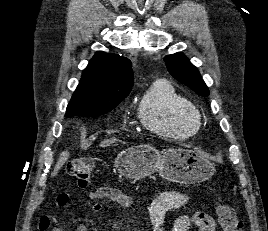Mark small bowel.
I'll return each mask as SVG.
<instances>
[{
    "mask_svg": "<svg viewBox=\"0 0 268 231\" xmlns=\"http://www.w3.org/2000/svg\"><path fill=\"white\" fill-rule=\"evenodd\" d=\"M88 198L92 202V211L100 212L103 209L100 200H109L119 204L125 209L133 205V199L118 188L112 186H102L88 193ZM190 198L187 194L165 191L157 193L151 202L148 214L151 225V231H164V221L166 214L174 209L181 208L188 204ZM66 200L60 202V206L65 204ZM53 216H41L38 223V231H47L50 225L55 223ZM85 225H79L75 231H87ZM214 221L206 213L196 212L192 215H183L178 217L171 231H214ZM52 231H66L65 229L55 226Z\"/></svg>",
    "mask_w": 268,
    "mask_h": 231,
    "instance_id": "small-bowel-1",
    "label": "small bowel"
}]
</instances>
